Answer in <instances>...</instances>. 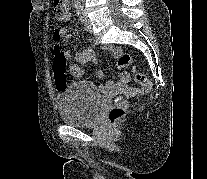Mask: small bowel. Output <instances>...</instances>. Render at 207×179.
I'll use <instances>...</instances> for the list:
<instances>
[{"instance_id": "1", "label": "small bowel", "mask_w": 207, "mask_h": 179, "mask_svg": "<svg viewBox=\"0 0 207 179\" xmlns=\"http://www.w3.org/2000/svg\"><path fill=\"white\" fill-rule=\"evenodd\" d=\"M68 9L63 13V15L59 18L61 21H68L71 17V13L69 11V5L67 4ZM63 38H68L69 35L65 29H57L55 30ZM54 32V33H55ZM105 50L109 51L114 57L120 58L122 56V51L120 48L114 46H104ZM66 58L69 60V68L71 74L76 78H82L85 75V70L82 68V65L88 63H97V57L94 50L90 47H85L78 52L74 56L71 55L70 51L64 52ZM97 77L99 79H104L105 74L102 71L97 73ZM130 80V75L127 71H122L119 76V80L116 82H107L102 83L99 88L103 92H110L117 88H126ZM58 87H61L58 84Z\"/></svg>"}]
</instances>
